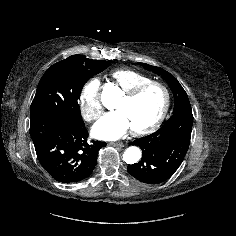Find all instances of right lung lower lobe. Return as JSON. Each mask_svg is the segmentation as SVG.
<instances>
[{
    "label": "right lung lower lobe",
    "mask_w": 236,
    "mask_h": 236,
    "mask_svg": "<svg viewBox=\"0 0 236 236\" xmlns=\"http://www.w3.org/2000/svg\"><path fill=\"white\" fill-rule=\"evenodd\" d=\"M30 135L37 158L58 182L73 183L87 178L105 142H87L84 122L55 117L30 119Z\"/></svg>",
    "instance_id": "obj_1"
}]
</instances>
